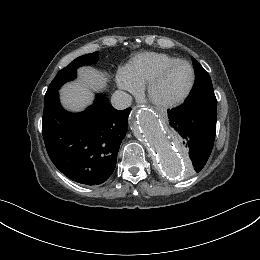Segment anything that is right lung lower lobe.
<instances>
[{"instance_id": "obj_1", "label": "right lung lower lobe", "mask_w": 260, "mask_h": 260, "mask_svg": "<svg viewBox=\"0 0 260 260\" xmlns=\"http://www.w3.org/2000/svg\"><path fill=\"white\" fill-rule=\"evenodd\" d=\"M131 108L116 110L105 95L80 113L62 108L58 92L44 97L42 134L54 165L71 180L99 185L113 173Z\"/></svg>"}]
</instances>
